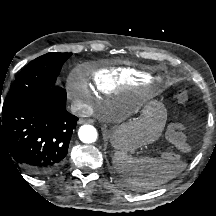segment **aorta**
<instances>
[{
	"instance_id": "obj_1",
	"label": "aorta",
	"mask_w": 216,
	"mask_h": 216,
	"mask_svg": "<svg viewBox=\"0 0 216 216\" xmlns=\"http://www.w3.org/2000/svg\"><path fill=\"white\" fill-rule=\"evenodd\" d=\"M78 135L83 143H93L98 138L97 130L92 125L81 126Z\"/></svg>"
}]
</instances>
